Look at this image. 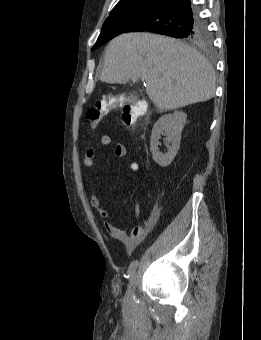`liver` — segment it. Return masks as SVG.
Masks as SVG:
<instances>
[{
  "label": "liver",
  "instance_id": "obj_1",
  "mask_svg": "<svg viewBox=\"0 0 261 340\" xmlns=\"http://www.w3.org/2000/svg\"><path fill=\"white\" fill-rule=\"evenodd\" d=\"M146 81V92L160 111L211 99L215 72L197 50L181 41L146 32L125 33L107 46L100 80L126 84Z\"/></svg>",
  "mask_w": 261,
  "mask_h": 340
}]
</instances>
